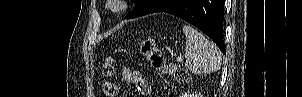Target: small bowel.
<instances>
[{
    "label": "small bowel",
    "instance_id": "small-bowel-1",
    "mask_svg": "<svg viewBox=\"0 0 302 97\" xmlns=\"http://www.w3.org/2000/svg\"><path fill=\"white\" fill-rule=\"evenodd\" d=\"M122 78L124 82L134 85L137 91L142 95L147 94L150 91L149 82L139 71L125 67L122 70Z\"/></svg>",
    "mask_w": 302,
    "mask_h": 97
}]
</instances>
